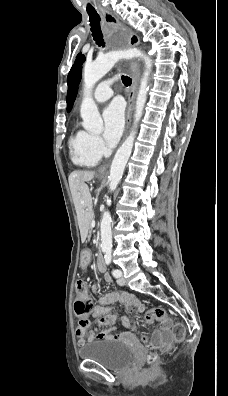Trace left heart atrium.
I'll return each mask as SVG.
<instances>
[{
    "mask_svg": "<svg viewBox=\"0 0 228 396\" xmlns=\"http://www.w3.org/2000/svg\"><path fill=\"white\" fill-rule=\"evenodd\" d=\"M104 133L103 136L107 143L115 144L122 135L125 114L124 105L120 100L111 102L103 112Z\"/></svg>",
    "mask_w": 228,
    "mask_h": 396,
    "instance_id": "obj_1",
    "label": "left heart atrium"
}]
</instances>
